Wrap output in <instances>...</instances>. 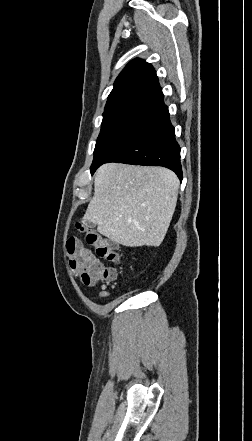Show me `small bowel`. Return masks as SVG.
Returning a JSON list of instances; mask_svg holds the SVG:
<instances>
[{"label":"small bowel","instance_id":"1","mask_svg":"<svg viewBox=\"0 0 252 441\" xmlns=\"http://www.w3.org/2000/svg\"><path fill=\"white\" fill-rule=\"evenodd\" d=\"M107 295V293L106 292H101V293H99V297H105Z\"/></svg>","mask_w":252,"mask_h":441}]
</instances>
